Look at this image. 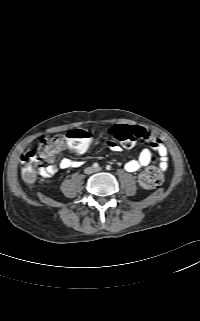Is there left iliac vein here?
I'll list each match as a JSON object with an SVG mask.
<instances>
[{"mask_svg": "<svg viewBox=\"0 0 200 321\" xmlns=\"http://www.w3.org/2000/svg\"><path fill=\"white\" fill-rule=\"evenodd\" d=\"M101 170H102V168L99 167V168H96L94 171H95V172H99V171H101Z\"/></svg>", "mask_w": 200, "mask_h": 321, "instance_id": "left-iliac-vein-1", "label": "left iliac vein"}]
</instances>
